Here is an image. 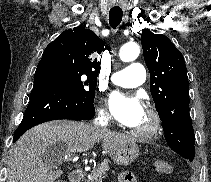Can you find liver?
<instances>
[{"label": "liver", "mask_w": 211, "mask_h": 182, "mask_svg": "<svg viewBox=\"0 0 211 182\" xmlns=\"http://www.w3.org/2000/svg\"><path fill=\"white\" fill-rule=\"evenodd\" d=\"M101 141L104 154L114 155L132 136L76 121H56L37 125L16 142L9 162L7 182H54L62 171L58 169L65 155L85 152ZM61 143L63 157L45 160L46 149Z\"/></svg>", "instance_id": "liver-1"}]
</instances>
